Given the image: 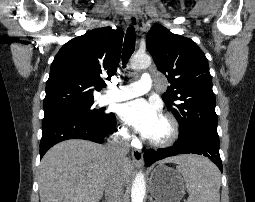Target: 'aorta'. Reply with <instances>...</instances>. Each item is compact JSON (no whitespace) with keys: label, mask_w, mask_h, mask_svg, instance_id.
I'll return each mask as SVG.
<instances>
[{"label":"aorta","mask_w":255,"mask_h":202,"mask_svg":"<svg viewBox=\"0 0 255 202\" xmlns=\"http://www.w3.org/2000/svg\"><path fill=\"white\" fill-rule=\"evenodd\" d=\"M151 65V58L147 54H136L131 59L133 69H144ZM146 192L145 178L142 172L136 174L132 183L131 202H143Z\"/></svg>","instance_id":"aorta-1"}]
</instances>
